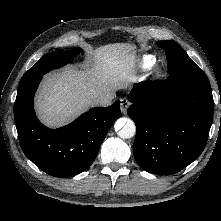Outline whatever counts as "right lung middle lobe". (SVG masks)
<instances>
[{"label":"right lung middle lobe","mask_w":221,"mask_h":221,"mask_svg":"<svg viewBox=\"0 0 221 221\" xmlns=\"http://www.w3.org/2000/svg\"><path fill=\"white\" fill-rule=\"evenodd\" d=\"M81 48H73L70 52H54L43 56L32 68L22 77L20 83L41 76L53 69L66 65L73 56L77 55Z\"/></svg>","instance_id":"obj_1"}]
</instances>
